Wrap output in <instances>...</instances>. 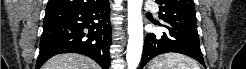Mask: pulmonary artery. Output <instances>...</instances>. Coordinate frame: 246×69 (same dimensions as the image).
Returning a JSON list of instances; mask_svg holds the SVG:
<instances>
[{
  "mask_svg": "<svg viewBox=\"0 0 246 69\" xmlns=\"http://www.w3.org/2000/svg\"><path fill=\"white\" fill-rule=\"evenodd\" d=\"M153 5H154L153 2H149V3H148V6H149V7H151V6H153Z\"/></svg>",
  "mask_w": 246,
  "mask_h": 69,
  "instance_id": "e3ab8cb5",
  "label": "pulmonary artery"
}]
</instances>
